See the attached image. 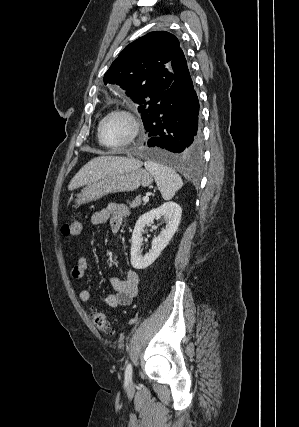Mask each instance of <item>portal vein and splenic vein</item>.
<instances>
[{"label":"portal vein and splenic vein","mask_w":299,"mask_h":427,"mask_svg":"<svg viewBox=\"0 0 299 427\" xmlns=\"http://www.w3.org/2000/svg\"><path fill=\"white\" fill-rule=\"evenodd\" d=\"M148 195H149V194H148ZM148 195H146V196H144V197H143V201H144V202H148V201H149V197H148Z\"/></svg>","instance_id":"1"}]
</instances>
